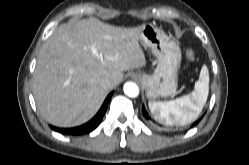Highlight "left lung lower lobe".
Here are the masks:
<instances>
[{
    "label": "left lung lower lobe",
    "mask_w": 249,
    "mask_h": 165,
    "mask_svg": "<svg viewBox=\"0 0 249 165\" xmlns=\"http://www.w3.org/2000/svg\"><path fill=\"white\" fill-rule=\"evenodd\" d=\"M142 113H143V116L145 117V119L150 120V117H149V115L147 114V112H146L144 106H142ZM199 121H200V120H197L195 123H193V126L196 125V124H198Z\"/></svg>",
    "instance_id": "left-lung-lower-lobe-1"
}]
</instances>
